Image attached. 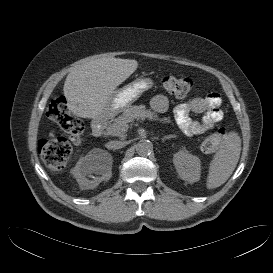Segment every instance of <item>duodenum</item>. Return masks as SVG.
I'll return each mask as SVG.
<instances>
[{
	"label": "duodenum",
	"mask_w": 273,
	"mask_h": 273,
	"mask_svg": "<svg viewBox=\"0 0 273 273\" xmlns=\"http://www.w3.org/2000/svg\"><path fill=\"white\" fill-rule=\"evenodd\" d=\"M104 128H105V121L100 117L96 118L92 124V135L94 137L102 136L104 132Z\"/></svg>",
	"instance_id": "duodenum-1"
}]
</instances>
